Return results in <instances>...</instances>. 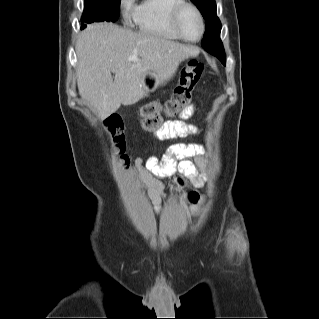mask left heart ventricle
Listing matches in <instances>:
<instances>
[{"mask_svg":"<svg viewBox=\"0 0 319 319\" xmlns=\"http://www.w3.org/2000/svg\"><path fill=\"white\" fill-rule=\"evenodd\" d=\"M179 28L184 36L195 39L200 34V23L192 9H186L179 19Z\"/></svg>","mask_w":319,"mask_h":319,"instance_id":"left-heart-ventricle-1","label":"left heart ventricle"}]
</instances>
